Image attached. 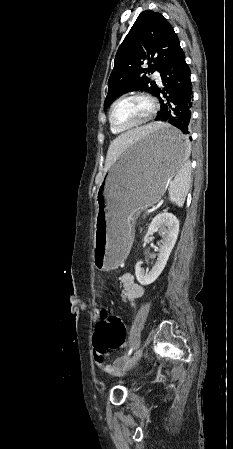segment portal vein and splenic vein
<instances>
[{
  "mask_svg": "<svg viewBox=\"0 0 233 449\" xmlns=\"http://www.w3.org/2000/svg\"><path fill=\"white\" fill-rule=\"evenodd\" d=\"M154 210H155V207L150 208V209L147 210V213H151V212H153Z\"/></svg>",
  "mask_w": 233,
  "mask_h": 449,
  "instance_id": "portal-vein-and-splenic-vein-1",
  "label": "portal vein and splenic vein"
}]
</instances>
